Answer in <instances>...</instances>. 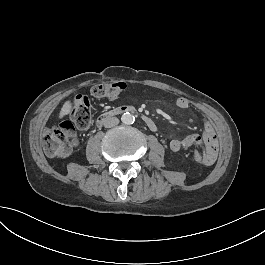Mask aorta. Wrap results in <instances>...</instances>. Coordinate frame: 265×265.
<instances>
[{
	"instance_id": "1",
	"label": "aorta",
	"mask_w": 265,
	"mask_h": 265,
	"mask_svg": "<svg viewBox=\"0 0 265 265\" xmlns=\"http://www.w3.org/2000/svg\"><path fill=\"white\" fill-rule=\"evenodd\" d=\"M121 121L123 124L126 125H131L134 123L135 121V117L134 115H132L130 112H125L122 116H121Z\"/></svg>"
}]
</instances>
